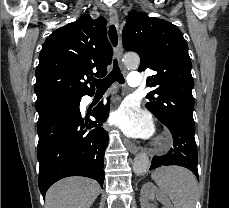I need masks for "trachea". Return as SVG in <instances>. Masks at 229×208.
<instances>
[{"instance_id":"1","label":"trachea","mask_w":229,"mask_h":208,"mask_svg":"<svg viewBox=\"0 0 229 208\" xmlns=\"http://www.w3.org/2000/svg\"><path fill=\"white\" fill-rule=\"evenodd\" d=\"M109 38L113 46H117L118 44V34L116 31L115 25H111L109 27ZM117 81L121 85L125 83L124 76L121 73V70L118 66L117 58L113 61V69L107 77L103 78L102 80L94 81L95 86L97 87V91H105L107 90L114 81Z\"/></svg>"}]
</instances>
